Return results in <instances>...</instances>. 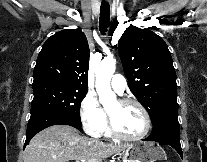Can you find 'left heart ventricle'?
<instances>
[{
	"instance_id": "obj_1",
	"label": "left heart ventricle",
	"mask_w": 207,
	"mask_h": 162,
	"mask_svg": "<svg viewBox=\"0 0 207 162\" xmlns=\"http://www.w3.org/2000/svg\"><path fill=\"white\" fill-rule=\"evenodd\" d=\"M107 111L118 130L125 135H137L145 127L144 115L135 105L120 106L116 101Z\"/></svg>"
}]
</instances>
